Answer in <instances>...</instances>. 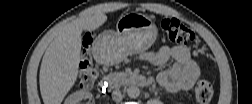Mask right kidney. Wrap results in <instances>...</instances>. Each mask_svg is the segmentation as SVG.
Listing matches in <instances>:
<instances>
[{
    "instance_id": "ca27d5eb",
    "label": "right kidney",
    "mask_w": 252,
    "mask_h": 104,
    "mask_svg": "<svg viewBox=\"0 0 252 104\" xmlns=\"http://www.w3.org/2000/svg\"><path fill=\"white\" fill-rule=\"evenodd\" d=\"M90 96V93L87 91H77L69 95L65 101L66 104H80L83 99H86Z\"/></svg>"
}]
</instances>
